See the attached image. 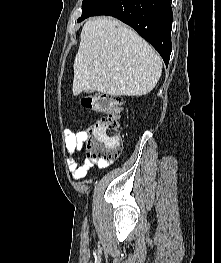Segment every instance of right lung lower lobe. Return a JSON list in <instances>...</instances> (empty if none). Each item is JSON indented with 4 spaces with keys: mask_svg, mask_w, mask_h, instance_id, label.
I'll use <instances>...</instances> for the list:
<instances>
[{
    "mask_svg": "<svg viewBox=\"0 0 221 263\" xmlns=\"http://www.w3.org/2000/svg\"><path fill=\"white\" fill-rule=\"evenodd\" d=\"M96 15L113 16L130 25L168 65L172 51L170 0H107L92 16Z\"/></svg>",
    "mask_w": 221,
    "mask_h": 263,
    "instance_id": "98d812e1",
    "label": "right lung lower lobe"
}]
</instances>
